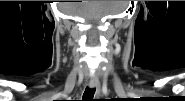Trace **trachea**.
<instances>
[{
	"label": "trachea",
	"instance_id": "obj_1",
	"mask_svg": "<svg viewBox=\"0 0 185 101\" xmlns=\"http://www.w3.org/2000/svg\"><path fill=\"white\" fill-rule=\"evenodd\" d=\"M95 88H86L83 94V101H93V97L95 94Z\"/></svg>",
	"mask_w": 185,
	"mask_h": 101
}]
</instances>
